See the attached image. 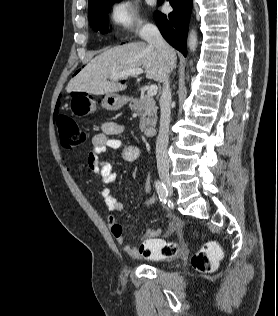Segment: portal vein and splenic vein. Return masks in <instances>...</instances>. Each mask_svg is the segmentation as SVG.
<instances>
[{"label": "portal vein and splenic vein", "mask_w": 278, "mask_h": 316, "mask_svg": "<svg viewBox=\"0 0 278 316\" xmlns=\"http://www.w3.org/2000/svg\"><path fill=\"white\" fill-rule=\"evenodd\" d=\"M142 73H143V69L137 68V69L127 70V71H122L120 73L111 75L109 78L110 79H121V78H126L128 76L140 75ZM157 91H158L157 86L151 85L148 88L147 95L149 97H153L154 95H156Z\"/></svg>", "instance_id": "portal-vein-and-splenic-vein-1"}]
</instances>
